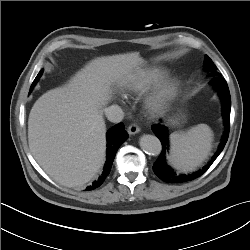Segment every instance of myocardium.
I'll list each match as a JSON object with an SVG mask.
<instances>
[{
	"label": "myocardium",
	"instance_id": "obj_1",
	"mask_svg": "<svg viewBox=\"0 0 250 250\" xmlns=\"http://www.w3.org/2000/svg\"><path fill=\"white\" fill-rule=\"evenodd\" d=\"M179 89V83L173 79H163L158 82L147 99V109L150 114L163 112L172 102Z\"/></svg>",
	"mask_w": 250,
	"mask_h": 250
}]
</instances>
